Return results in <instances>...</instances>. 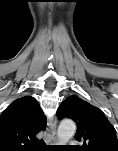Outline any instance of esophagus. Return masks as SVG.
<instances>
[{
    "label": "esophagus",
    "instance_id": "1",
    "mask_svg": "<svg viewBox=\"0 0 118 151\" xmlns=\"http://www.w3.org/2000/svg\"><path fill=\"white\" fill-rule=\"evenodd\" d=\"M56 127H57V121L54 120L52 127H51V143H56L57 142V138H56Z\"/></svg>",
    "mask_w": 118,
    "mask_h": 151
}]
</instances>
